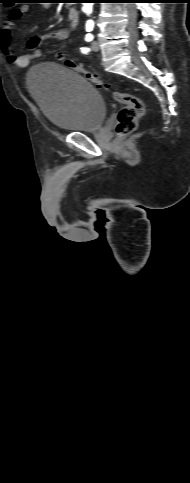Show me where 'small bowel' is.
I'll return each instance as SVG.
<instances>
[{
    "mask_svg": "<svg viewBox=\"0 0 190 483\" xmlns=\"http://www.w3.org/2000/svg\"><path fill=\"white\" fill-rule=\"evenodd\" d=\"M28 10L27 5H21L13 9L4 25L0 28V50L3 52L6 59L12 62L17 67H26L32 58H37L39 52L37 47L45 41H67L70 42V28H59L50 31L39 37L31 38L27 44L28 48L32 50L30 54L18 56L15 54L11 45V36L17 21Z\"/></svg>",
    "mask_w": 190,
    "mask_h": 483,
    "instance_id": "small-bowel-1",
    "label": "small bowel"
}]
</instances>
